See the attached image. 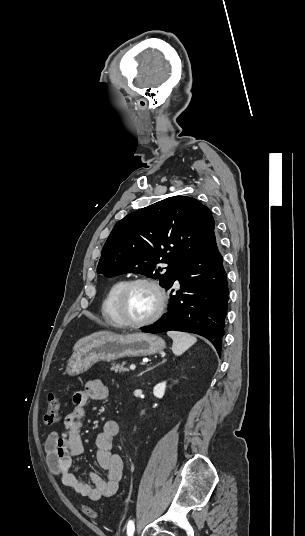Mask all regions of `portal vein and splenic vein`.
<instances>
[{
    "label": "portal vein and splenic vein",
    "mask_w": 305,
    "mask_h": 536,
    "mask_svg": "<svg viewBox=\"0 0 305 536\" xmlns=\"http://www.w3.org/2000/svg\"><path fill=\"white\" fill-rule=\"evenodd\" d=\"M136 366H130V370H135Z\"/></svg>",
    "instance_id": "18ae733b"
}]
</instances>
